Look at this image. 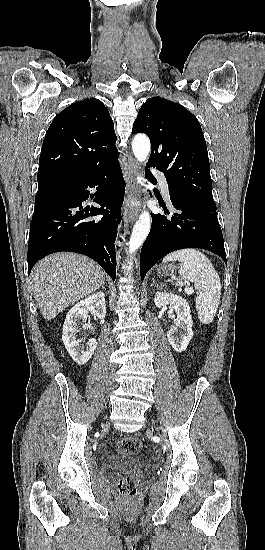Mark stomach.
Listing matches in <instances>:
<instances>
[{"label":"stomach","instance_id":"obj_1","mask_svg":"<svg viewBox=\"0 0 265 550\" xmlns=\"http://www.w3.org/2000/svg\"><path fill=\"white\" fill-rule=\"evenodd\" d=\"M161 270L163 273H168L169 271H173V266L172 265H165V266H162L161 267Z\"/></svg>","mask_w":265,"mask_h":550}]
</instances>
